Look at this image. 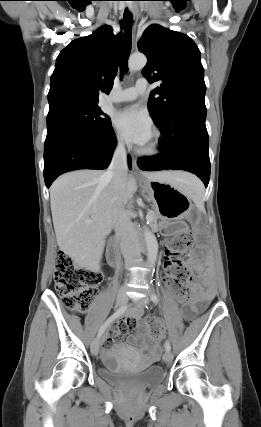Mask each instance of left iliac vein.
Instances as JSON below:
<instances>
[{
  "label": "left iliac vein",
  "instance_id": "1",
  "mask_svg": "<svg viewBox=\"0 0 261 427\" xmlns=\"http://www.w3.org/2000/svg\"><path fill=\"white\" fill-rule=\"evenodd\" d=\"M149 302V299L144 297V298H140L136 301V304L140 307V308H144L146 303ZM173 359V355L170 351H166L163 355V360L166 363H170Z\"/></svg>",
  "mask_w": 261,
  "mask_h": 427
}]
</instances>
